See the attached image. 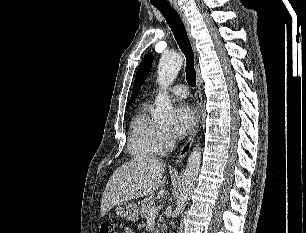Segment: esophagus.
<instances>
[{"label":"esophagus","mask_w":306,"mask_h":233,"mask_svg":"<svg viewBox=\"0 0 306 233\" xmlns=\"http://www.w3.org/2000/svg\"><path fill=\"white\" fill-rule=\"evenodd\" d=\"M172 7L174 8V10L178 13V15L180 16L185 28H186V31H187V34H188V37H189V40L191 42V45H192V48L194 50V53L196 55V47H195V41L191 35V27H190V24L187 20V17L185 15V12L184 10L176 3H173L172 4ZM195 98H196V105H195V122H194V125L192 127V130L190 132V135L187 139V141L185 142V144L183 145V147L181 148L178 156H177V160H176V164H179L181 163L184 158L186 157V155L188 154L191 146H192V143L194 141V138H195V135L197 133V130L199 128V124H200V119H201V107H202V93H201V81H200V77H197V88H196V93H195Z\"/></svg>","instance_id":"1"}]
</instances>
